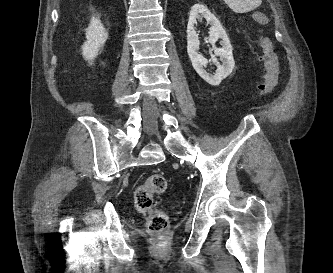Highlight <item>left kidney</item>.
I'll use <instances>...</instances> for the list:
<instances>
[{
  "mask_svg": "<svg viewBox=\"0 0 333 273\" xmlns=\"http://www.w3.org/2000/svg\"><path fill=\"white\" fill-rule=\"evenodd\" d=\"M203 18L206 19L207 23L211 26L208 41L213 47L215 56H219L222 62V64H220L216 58L212 60L217 66L214 75L206 72L204 68L208 65L209 61L198 52L200 41L195 31V24L197 21H202ZM218 39H222L221 48L215 46ZM232 50L230 40L219 20L203 4L193 5L189 13L187 25V52L192 66L198 75L211 85H219L223 79L232 73L235 67Z\"/></svg>",
  "mask_w": 333,
  "mask_h": 273,
  "instance_id": "1",
  "label": "left kidney"
}]
</instances>
